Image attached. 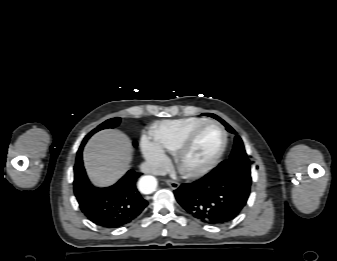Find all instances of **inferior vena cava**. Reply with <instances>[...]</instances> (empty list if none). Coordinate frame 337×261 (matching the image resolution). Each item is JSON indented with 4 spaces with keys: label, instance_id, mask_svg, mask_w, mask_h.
I'll return each mask as SVG.
<instances>
[{
    "label": "inferior vena cava",
    "instance_id": "602c4592",
    "mask_svg": "<svg viewBox=\"0 0 337 261\" xmlns=\"http://www.w3.org/2000/svg\"><path fill=\"white\" fill-rule=\"evenodd\" d=\"M143 173L153 174V175H165L166 170L159 164L153 162H144L140 166Z\"/></svg>",
    "mask_w": 337,
    "mask_h": 261
}]
</instances>
